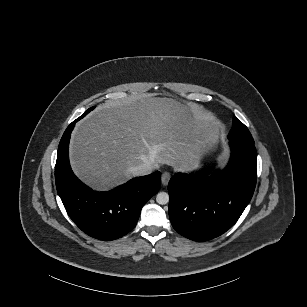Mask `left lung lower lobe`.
Wrapping results in <instances>:
<instances>
[{
    "instance_id": "obj_1",
    "label": "left lung lower lobe",
    "mask_w": 307,
    "mask_h": 307,
    "mask_svg": "<svg viewBox=\"0 0 307 307\" xmlns=\"http://www.w3.org/2000/svg\"><path fill=\"white\" fill-rule=\"evenodd\" d=\"M231 158L217 175L175 174L168 184L169 217L182 236L207 241L231 228L256 185L254 141L230 139Z\"/></svg>"
}]
</instances>
